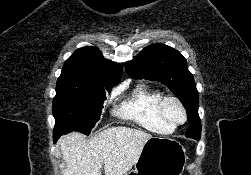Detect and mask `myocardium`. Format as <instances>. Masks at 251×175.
Listing matches in <instances>:
<instances>
[{
  "label": "myocardium",
  "instance_id": "obj_1",
  "mask_svg": "<svg viewBox=\"0 0 251 175\" xmlns=\"http://www.w3.org/2000/svg\"><path fill=\"white\" fill-rule=\"evenodd\" d=\"M168 101H175L182 108V110L184 112V120H183L182 123L176 124V125H171L170 122L168 121V119L166 118L165 113H164V107H165V104ZM156 111H157V114H158V117L160 118V120L165 125L171 127L173 130H177V129L183 127L187 123V121L189 119V112H188V109H187L186 105L184 104V102L179 97H177L175 95H163L159 99V101L157 102Z\"/></svg>",
  "mask_w": 251,
  "mask_h": 175
}]
</instances>
